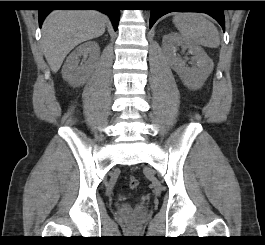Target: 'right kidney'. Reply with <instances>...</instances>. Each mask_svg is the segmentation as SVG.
<instances>
[{
	"mask_svg": "<svg viewBox=\"0 0 265 245\" xmlns=\"http://www.w3.org/2000/svg\"><path fill=\"white\" fill-rule=\"evenodd\" d=\"M99 56L100 47L97 42L89 41L80 45L67 57L62 68V77L71 86L83 85L96 67ZM81 57L83 61L79 65Z\"/></svg>",
	"mask_w": 265,
	"mask_h": 245,
	"instance_id": "obj_1",
	"label": "right kidney"
}]
</instances>
